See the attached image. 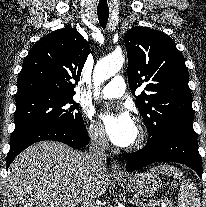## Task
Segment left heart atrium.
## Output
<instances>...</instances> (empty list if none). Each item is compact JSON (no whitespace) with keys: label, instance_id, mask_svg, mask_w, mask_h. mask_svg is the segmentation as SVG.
Returning a JSON list of instances; mask_svg holds the SVG:
<instances>
[{"label":"left heart atrium","instance_id":"39dd6f15","mask_svg":"<svg viewBox=\"0 0 206 207\" xmlns=\"http://www.w3.org/2000/svg\"><path fill=\"white\" fill-rule=\"evenodd\" d=\"M107 135L115 145L126 147L133 143L136 135V124L126 108L116 113H105L101 115Z\"/></svg>","mask_w":206,"mask_h":207}]
</instances>
